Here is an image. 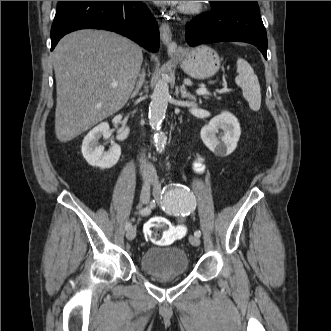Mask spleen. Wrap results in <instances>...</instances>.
Wrapping results in <instances>:
<instances>
[{"label": "spleen", "mask_w": 331, "mask_h": 331, "mask_svg": "<svg viewBox=\"0 0 331 331\" xmlns=\"http://www.w3.org/2000/svg\"><path fill=\"white\" fill-rule=\"evenodd\" d=\"M238 75L236 83L242 88L243 96L248 101L252 110L258 111L261 105V92L258 77L255 75L250 64L242 59L237 60Z\"/></svg>", "instance_id": "obj_1"}]
</instances>
